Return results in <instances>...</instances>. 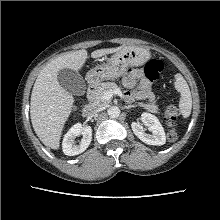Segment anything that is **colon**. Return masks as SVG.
<instances>
[{
    "instance_id": "5ec220e1",
    "label": "colon",
    "mask_w": 220,
    "mask_h": 220,
    "mask_svg": "<svg viewBox=\"0 0 220 220\" xmlns=\"http://www.w3.org/2000/svg\"><path fill=\"white\" fill-rule=\"evenodd\" d=\"M161 71L162 64L158 60L148 61L144 68L145 76L151 82L159 78ZM83 107L84 100L80 98L76 101L75 108L76 110H82ZM178 116L179 110L175 105H170L167 107L165 111V121L167 126L169 127V131L167 133V139L169 142H174L177 139V132L174 126L177 122Z\"/></svg>"
}]
</instances>
